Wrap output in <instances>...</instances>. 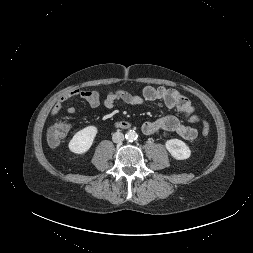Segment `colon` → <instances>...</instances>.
Instances as JSON below:
<instances>
[{
  "label": "colon",
  "instance_id": "colon-1",
  "mask_svg": "<svg viewBox=\"0 0 253 253\" xmlns=\"http://www.w3.org/2000/svg\"><path fill=\"white\" fill-rule=\"evenodd\" d=\"M70 130V125L66 122H57L48 129L47 140L51 146H57L66 137ZM210 133V126L207 116L204 115L202 121V134L207 137Z\"/></svg>",
  "mask_w": 253,
  "mask_h": 253
}]
</instances>
